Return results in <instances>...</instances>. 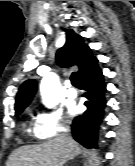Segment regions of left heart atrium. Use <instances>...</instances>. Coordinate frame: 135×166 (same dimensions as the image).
<instances>
[{
    "instance_id": "1",
    "label": "left heart atrium",
    "mask_w": 135,
    "mask_h": 166,
    "mask_svg": "<svg viewBox=\"0 0 135 166\" xmlns=\"http://www.w3.org/2000/svg\"><path fill=\"white\" fill-rule=\"evenodd\" d=\"M70 113H71V114H74V113H75V110H74V109H71V110H70Z\"/></svg>"
}]
</instances>
